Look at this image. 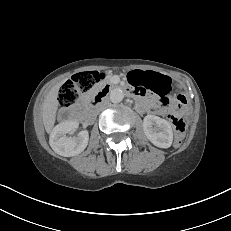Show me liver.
I'll return each instance as SVG.
<instances>
[{"instance_id": "liver-1", "label": "liver", "mask_w": 231, "mask_h": 231, "mask_svg": "<svg viewBox=\"0 0 231 231\" xmlns=\"http://www.w3.org/2000/svg\"><path fill=\"white\" fill-rule=\"evenodd\" d=\"M63 81L56 84L49 93L46 95L44 102L42 104V119L43 125L47 133H51L56 120V112L58 109V93L62 86Z\"/></svg>"}]
</instances>
